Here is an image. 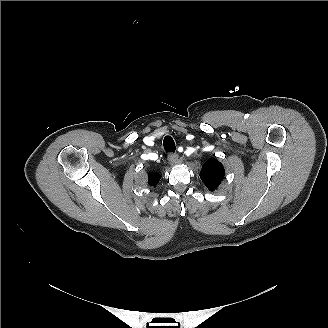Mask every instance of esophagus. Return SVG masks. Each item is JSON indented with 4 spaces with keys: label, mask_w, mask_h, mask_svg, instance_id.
Here are the masks:
<instances>
[{
    "label": "esophagus",
    "mask_w": 328,
    "mask_h": 328,
    "mask_svg": "<svg viewBox=\"0 0 328 328\" xmlns=\"http://www.w3.org/2000/svg\"><path fill=\"white\" fill-rule=\"evenodd\" d=\"M168 161L171 163V164H175L177 163L178 161V155L176 153H171L168 155Z\"/></svg>",
    "instance_id": "34e87169"
}]
</instances>
